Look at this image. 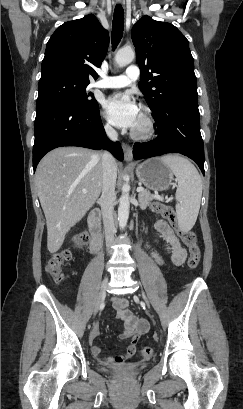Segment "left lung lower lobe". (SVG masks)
I'll return each mask as SVG.
<instances>
[{
    "label": "left lung lower lobe",
    "instance_id": "left-lung-lower-lobe-1",
    "mask_svg": "<svg viewBox=\"0 0 243 409\" xmlns=\"http://www.w3.org/2000/svg\"><path fill=\"white\" fill-rule=\"evenodd\" d=\"M153 117L158 137L150 142L135 143L134 159L180 153L194 160L204 174V145L200 133L198 95L181 96Z\"/></svg>",
    "mask_w": 243,
    "mask_h": 409
}]
</instances>
